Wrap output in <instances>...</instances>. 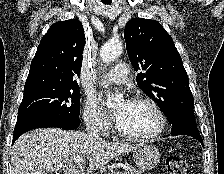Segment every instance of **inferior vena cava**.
I'll return each mask as SVG.
<instances>
[{"label": "inferior vena cava", "mask_w": 224, "mask_h": 174, "mask_svg": "<svg viewBox=\"0 0 224 174\" xmlns=\"http://www.w3.org/2000/svg\"><path fill=\"white\" fill-rule=\"evenodd\" d=\"M86 131H87V134L94 140H97V141L103 140L102 138H100V136L98 134L99 130H98L97 125H95L93 123H89L87 125Z\"/></svg>", "instance_id": "602c4592"}]
</instances>
